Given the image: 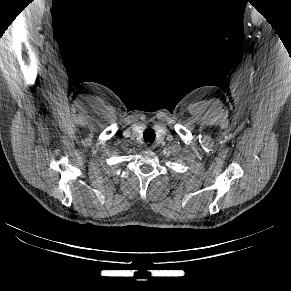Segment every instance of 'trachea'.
Returning a JSON list of instances; mask_svg holds the SVG:
<instances>
[{
    "label": "trachea",
    "instance_id": "3493384b",
    "mask_svg": "<svg viewBox=\"0 0 291 291\" xmlns=\"http://www.w3.org/2000/svg\"><path fill=\"white\" fill-rule=\"evenodd\" d=\"M155 137H156L155 132L151 128L146 129L143 133V138L145 142L153 143Z\"/></svg>",
    "mask_w": 291,
    "mask_h": 291
}]
</instances>
